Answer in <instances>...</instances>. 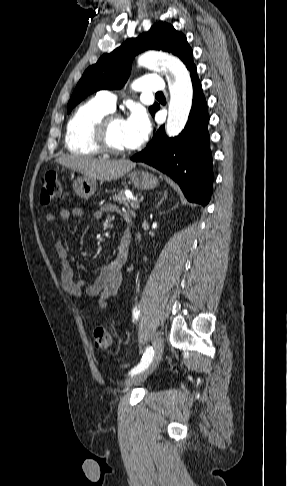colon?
I'll return each mask as SVG.
<instances>
[{"label":"colon","mask_w":287,"mask_h":486,"mask_svg":"<svg viewBox=\"0 0 287 486\" xmlns=\"http://www.w3.org/2000/svg\"><path fill=\"white\" fill-rule=\"evenodd\" d=\"M61 194V184L56 172L48 171L42 177V187L40 192V202L48 204L57 199ZM94 345L98 349H108L111 345V335L109 330L104 326L95 328Z\"/></svg>","instance_id":"5ec220e1"}]
</instances>
